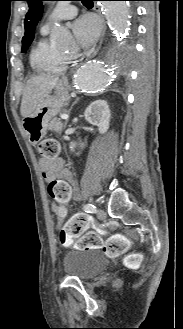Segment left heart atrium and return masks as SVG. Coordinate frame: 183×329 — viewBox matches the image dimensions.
Here are the masks:
<instances>
[{"label":"left heart atrium","instance_id":"obj_1","mask_svg":"<svg viewBox=\"0 0 183 329\" xmlns=\"http://www.w3.org/2000/svg\"><path fill=\"white\" fill-rule=\"evenodd\" d=\"M72 29L78 45L87 48L97 40L101 26L94 15L86 14L74 22Z\"/></svg>","mask_w":183,"mask_h":329}]
</instances>
